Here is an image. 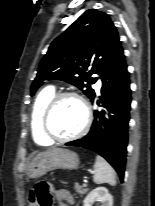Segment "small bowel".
Returning a JSON list of instances; mask_svg holds the SVG:
<instances>
[{"label": "small bowel", "mask_w": 155, "mask_h": 206, "mask_svg": "<svg viewBox=\"0 0 155 206\" xmlns=\"http://www.w3.org/2000/svg\"><path fill=\"white\" fill-rule=\"evenodd\" d=\"M55 199L59 206H68L73 202L72 195L65 189H59L55 191ZM31 206H39L36 203L31 202Z\"/></svg>", "instance_id": "1"}]
</instances>
